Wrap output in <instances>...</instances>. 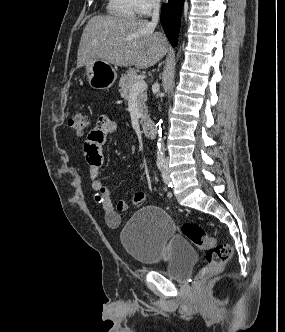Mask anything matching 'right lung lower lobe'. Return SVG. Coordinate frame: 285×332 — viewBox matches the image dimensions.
<instances>
[{"instance_id":"obj_1","label":"right lung lower lobe","mask_w":285,"mask_h":332,"mask_svg":"<svg viewBox=\"0 0 285 332\" xmlns=\"http://www.w3.org/2000/svg\"><path fill=\"white\" fill-rule=\"evenodd\" d=\"M183 2L184 0H169L162 7L161 23L173 47L177 44Z\"/></svg>"}]
</instances>
